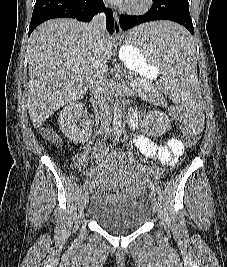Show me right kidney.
I'll return each mask as SVG.
<instances>
[{
    "label": "right kidney",
    "instance_id": "obj_1",
    "mask_svg": "<svg viewBox=\"0 0 227 267\" xmlns=\"http://www.w3.org/2000/svg\"><path fill=\"white\" fill-rule=\"evenodd\" d=\"M85 116L86 112L79 102L69 103L59 114L58 122L62 133L74 143H85L91 137L93 122L82 119Z\"/></svg>",
    "mask_w": 227,
    "mask_h": 267
}]
</instances>
